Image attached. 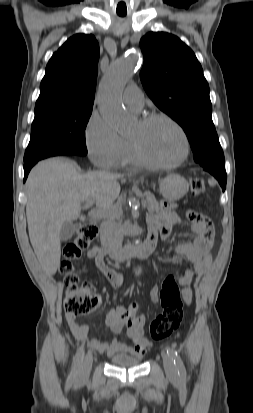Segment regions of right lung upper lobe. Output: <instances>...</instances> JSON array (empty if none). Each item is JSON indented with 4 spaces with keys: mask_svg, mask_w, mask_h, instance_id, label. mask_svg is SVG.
<instances>
[{
    "mask_svg": "<svg viewBox=\"0 0 253 413\" xmlns=\"http://www.w3.org/2000/svg\"><path fill=\"white\" fill-rule=\"evenodd\" d=\"M99 45L93 35L70 37L49 60L35 113L93 107Z\"/></svg>",
    "mask_w": 253,
    "mask_h": 413,
    "instance_id": "1",
    "label": "right lung upper lobe"
}]
</instances>
